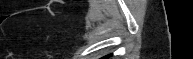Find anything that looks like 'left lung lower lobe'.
I'll use <instances>...</instances> for the list:
<instances>
[{"label": "left lung lower lobe", "instance_id": "obj_1", "mask_svg": "<svg viewBox=\"0 0 193 59\" xmlns=\"http://www.w3.org/2000/svg\"><path fill=\"white\" fill-rule=\"evenodd\" d=\"M109 56H111V55H109ZM109 56H107V57H104V58H108Z\"/></svg>", "mask_w": 193, "mask_h": 59}]
</instances>
